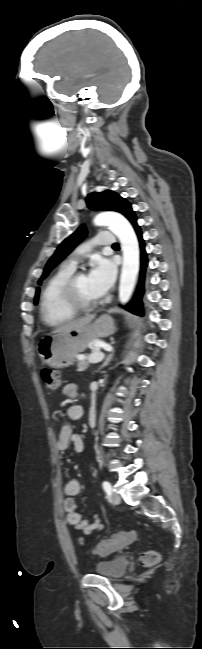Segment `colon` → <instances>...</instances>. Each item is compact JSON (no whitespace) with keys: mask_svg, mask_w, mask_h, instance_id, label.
<instances>
[{"mask_svg":"<svg viewBox=\"0 0 202 649\" xmlns=\"http://www.w3.org/2000/svg\"><path fill=\"white\" fill-rule=\"evenodd\" d=\"M41 379L44 386L50 390H57L61 385L60 373L52 368H43L41 370ZM136 538L133 531H121L110 538L105 539L98 543L94 552L99 555H108L115 551L125 549ZM160 562V555L158 552L150 550L144 552L140 557V563L146 567H151Z\"/></svg>","mask_w":202,"mask_h":649,"instance_id":"1","label":"colon"}]
</instances>
